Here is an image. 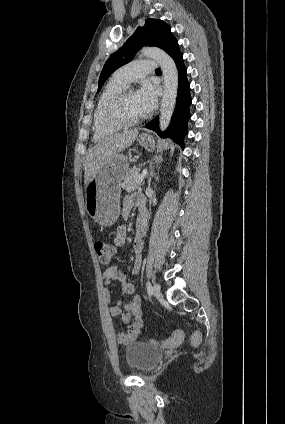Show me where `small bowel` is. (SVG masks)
<instances>
[{"mask_svg":"<svg viewBox=\"0 0 285 424\" xmlns=\"http://www.w3.org/2000/svg\"><path fill=\"white\" fill-rule=\"evenodd\" d=\"M133 208L139 209V218L146 216L147 213L144 208V198L140 194H131L124 197L122 201L121 215L124 219L130 216ZM126 227L121 225L117 228L116 234L113 240V244L117 248H123L126 245ZM142 248L143 241L141 237H136L133 241V250L135 253V260L132 268L133 274H138L141 268L142 262ZM117 280L120 284L122 294L131 295L132 299L128 303H123L121 300L117 301L114 306L108 308V315L110 317L121 316L122 322L126 325L127 329L125 332L116 334L115 340L120 345H126L134 341L143 328V309L141 297L136 294V290L133 284H131L118 265H112L107 267L102 273V301L103 304L108 306L111 302V292L108 288L110 283Z\"/></svg>","mask_w":285,"mask_h":424,"instance_id":"1","label":"small bowel"}]
</instances>
